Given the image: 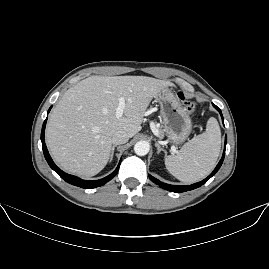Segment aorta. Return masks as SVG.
Returning <instances> with one entry per match:
<instances>
[{
    "instance_id": "aorta-1",
    "label": "aorta",
    "mask_w": 269,
    "mask_h": 269,
    "mask_svg": "<svg viewBox=\"0 0 269 269\" xmlns=\"http://www.w3.org/2000/svg\"><path fill=\"white\" fill-rule=\"evenodd\" d=\"M150 150V145L146 141H138L134 146V151L139 156L146 155Z\"/></svg>"
}]
</instances>
